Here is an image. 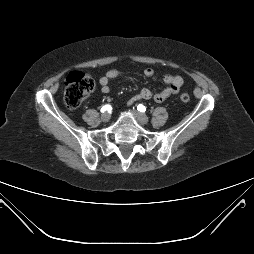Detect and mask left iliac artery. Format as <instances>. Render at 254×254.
I'll use <instances>...</instances> for the list:
<instances>
[{"mask_svg": "<svg viewBox=\"0 0 254 254\" xmlns=\"http://www.w3.org/2000/svg\"><path fill=\"white\" fill-rule=\"evenodd\" d=\"M137 109H138V111H140V112H145V111H146V107H145L143 104H139V105L137 106Z\"/></svg>", "mask_w": 254, "mask_h": 254, "instance_id": "obj_1", "label": "left iliac artery"}]
</instances>
